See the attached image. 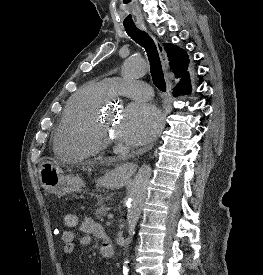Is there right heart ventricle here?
<instances>
[{"label": "right heart ventricle", "mask_w": 263, "mask_h": 275, "mask_svg": "<svg viewBox=\"0 0 263 275\" xmlns=\"http://www.w3.org/2000/svg\"><path fill=\"white\" fill-rule=\"evenodd\" d=\"M109 96L102 83L92 82L70 98L54 137V147L58 154L71 159H82L99 152L97 147L83 138V131Z\"/></svg>", "instance_id": "e07e8e85"}]
</instances>
